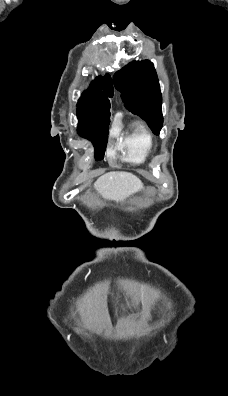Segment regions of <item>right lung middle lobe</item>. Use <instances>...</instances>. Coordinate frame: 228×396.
Listing matches in <instances>:
<instances>
[{
  "mask_svg": "<svg viewBox=\"0 0 228 396\" xmlns=\"http://www.w3.org/2000/svg\"><path fill=\"white\" fill-rule=\"evenodd\" d=\"M79 119L78 133L91 140L95 147V159L102 160L108 139L110 113L96 118Z\"/></svg>",
  "mask_w": 228,
  "mask_h": 396,
  "instance_id": "obj_1",
  "label": "right lung middle lobe"
}]
</instances>
